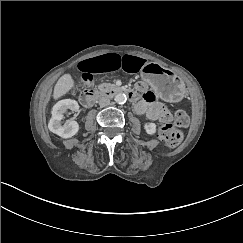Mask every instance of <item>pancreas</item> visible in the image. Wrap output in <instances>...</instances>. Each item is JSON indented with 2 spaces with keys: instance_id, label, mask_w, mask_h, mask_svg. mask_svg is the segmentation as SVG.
I'll list each match as a JSON object with an SVG mask.
<instances>
[{
  "instance_id": "cf45deb5",
  "label": "pancreas",
  "mask_w": 243,
  "mask_h": 243,
  "mask_svg": "<svg viewBox=\"0 0 243 243\" xmlns=\"http://www.w3.org/2000/svg\"><path fill=\"white\" fill-rule=\"evenodd\" d=\"M115 88H117V86L115 84H111V83H107V82H103L98 85V89L100 92H109V91L114 90Z\"/></svg>"
}]
</instances>
